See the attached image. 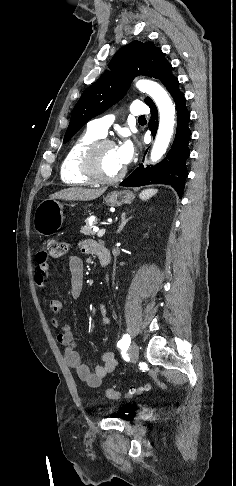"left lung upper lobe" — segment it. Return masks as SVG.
<instances>
[{
    "label": "left lung upper lobe",
    "mask_w": 236,
    "mask_h": 486,
    "mask_svg": "<svg viewBox=\"0 0 236 486\" xmlns=\"http://www.w3.org/2000/svg\"><path fill=\"white\" fill-rule=\"evenodd\" d=\"M109 69L84 91L75 105L63 143L68 142L87 121L117 103L136 76L153 77L164 85L174 77L172 65L162 51L152 42L137 40L122 47L114 55ZM144 102L148 105L152 100L147 97Z\"/></svg>",
    "instance_id": "5c2ea615"
}]
</instances>
